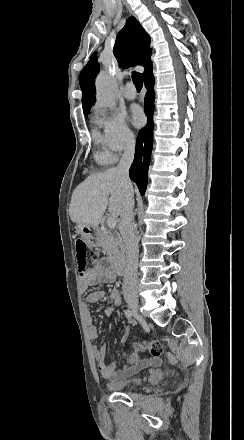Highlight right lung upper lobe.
I'll list each match as a JSON object with an SVG mask.
<instances>
[{
  "mask_svg": "<svg viewBox=\"0 0 244 440\" xmlns=\"http://www.w3.org/2000/svg\"><path fill=\"white\" fill-rule=\"evenodd\" d=\"M113 53L120 66H144L143 77L152 70L150 37L135 17L129 18L118 33ZM98 71L99 64L94 53L79 76L84 112H89L95 103V77Z\"/></svg>",
  "mask_w": 244,
  "mask_h": 440,
  "instance_id": "right-lung-upper-lobe-1",
  "label": "right lung upper lobe"
}]
</instances>
